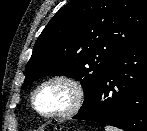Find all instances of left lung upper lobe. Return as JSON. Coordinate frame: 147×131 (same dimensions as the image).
Wrapping results in <instances>:
<instances>
[{
    "instance_id": "1",
    "label": "left lung upper lobe",
    "mask_w": 147,
    "mask_h": 131,
    "mask_svg": "<svg viewBox=\"0 0 147 131\" xmlns=\"http://www.w3.org/2000/svg\"><path fill=\"white\" fill-rule=\"evenodd\" d=\"M146 36L147 0H72L36 41L22 88L43 76L75 78L84 88L83 109L113 61Z\"/></svg>"
}]
</instances>
